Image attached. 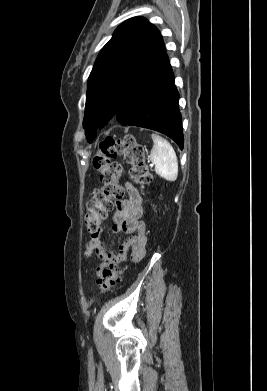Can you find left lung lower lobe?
<instances>
[{
	"label": "left lung lower lobe",
	"instance_id": "1",
	"mask_svg": "<svg viewBox=\"0 0 267 391\" xmlns=\"http://www.w3.org/2000/svg\"><path fill=\"white\" fill-rule=\"evenodd\" d=\"M179 93L166 53L141 77L116 115L123 126H138L163 133L183 149ZM89 142L95 137L87 133Z\"/></svg>",
	"mask_w": 267,
	"mask_h": 391
}]
</instances>
